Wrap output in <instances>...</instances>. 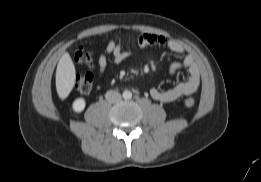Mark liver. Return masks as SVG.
Wrapping results in <instances>:
<instances>
[{
	"instance_id": "1",
	"label": "liver",
	"mask_w": 261,
	"mask_h": 182,
	"mask_svg": "<svg viewBox=\"0 0 261 182\" xmlns=\"http://www.w3.org/2000/svg\"><path fill=\"white\" fill-rule=\"evenodd\" d=\"M76 70L68 52L60 58L56 69V90L60 99L68 97L75 84Z\"/></svg>"
}]
</instances>
